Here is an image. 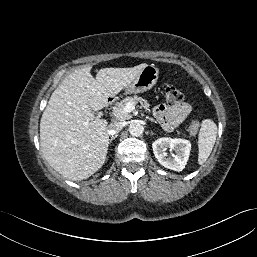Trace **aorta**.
<instances>
[{
  "label": "aorta",
  "instance_id": "aorta-1",
  "mask_svg": "<svg viewBox=\"0 0 257 257\" xmlns=\"http://www.w3.org/2000/svg\"><path fill=\"white\" fill-rule=\"evenodd\" d=\"M143 130V126L137 121L132 122L129 126V132L132 136H140Z\"/></svg>",
  "mask_w": 257,
  "mask_h": 257
}]
</instances>
